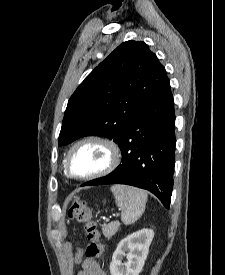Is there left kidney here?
<instances>
[{
  "label": "left kidney",
  "mask_w": 225,
  "mask_h": 275,
  "mask_svg": "<svg viewBox=\"0 0 225 275\" xmlns=\"http://www.w3.org/2000/svg\"><path fill=\"white\" fill-rule=\"evenodd\" d=\"M153 237V230L142 229L121 240L112 256L111 275H139ZM126 251H128L127 254ZM124 256H126L127 262L122 263Z\"/></svg>",
  "instance_id": "5707ae66"
}]
</instances>
